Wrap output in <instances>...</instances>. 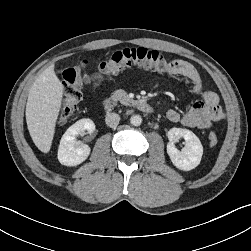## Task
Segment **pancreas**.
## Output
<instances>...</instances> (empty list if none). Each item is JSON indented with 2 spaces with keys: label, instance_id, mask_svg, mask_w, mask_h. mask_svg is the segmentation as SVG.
I'll list each match as a JSON object with an SVG mask.
<instances>
[{
  "label": "pancreas",
  "instance_id": "obj_1",
  "mask_svg": "<svg viewBox=\"0 0 251 251\" xmlns=\"http://www.w3.org/2000/svg\"><path fill=\"white\" fill-rule=\"evenodd\" d=\"M111 99L114 101L119 100L123 104H128V102L130 101L128 94L126 93V91L122 89L115 90L113 94L111 95Z\"/></svg>",
  "mask_w": 251,
  "mask_h": 251
}]
</instances>
